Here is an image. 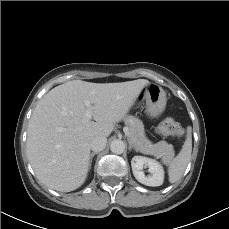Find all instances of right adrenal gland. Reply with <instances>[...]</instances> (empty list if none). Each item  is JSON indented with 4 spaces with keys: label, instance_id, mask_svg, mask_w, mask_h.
I'll use <instances>...</instances> for the list:
<instances>
[{
    "label": "right adrenal gland",
    "instance_id": "obj_1",
    "mask_svg": "<svg viewBox=\"0 0 229 229\" xmlns=\"http://www.w3.org/2000/svg\"><path fill=\"white\" fill-rule=\"evenodd\" d=\"M99 152H93L90 154V158H89V168H91V164H92V160H93V157L95 155H97Z\"/></svg>",
    "mask_w": 229,
    "mask_h": 229
}]
</instances>
